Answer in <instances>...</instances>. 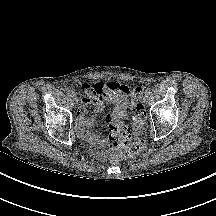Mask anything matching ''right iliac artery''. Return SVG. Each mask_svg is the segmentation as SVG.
<instances>
[{"label": "right iliac artery", "instance_id": "right-iliac-artery-1", "mask_svg": "<svg viewBox=\"0 0 216 216\" xmlns=\"http://www.w3.org/2000/svg\"><path fill=\"white\" fill-rule=\"evenodd\" d=\"M68 95H69L70 97H74L76 94H75L74 91H69Z\"/></svg>", "mask_w": 216, "mask_h": 216}]
</instances>
